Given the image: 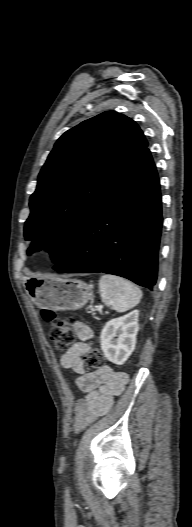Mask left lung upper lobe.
Instances as JSON below:
<instances>
[{
	"instance_id": "obj_1",
	"label": "left lung upper lobe",
	"mask_w": 192,
	"mask_h": 527,
	"mask_svg": "<svg viewBox=\"0 0 192 527\" xmlns=\"http://www.w3.org/2000/svg\"><path fill=\"white\" fill-rule=\"evenodd\" d=\"M148 143L139 126L106 111L66 131L56 142L30 197L24 235L28 253L47 248L58 263L120 175Z\"/></svg>"
}]
</instances>
